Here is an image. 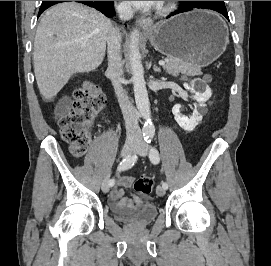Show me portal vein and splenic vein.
<instances>
[{"label": "portal vein and splenic vein", "mask_w": 271, "mask_h": 266, "mask_svg": "<svg viewBox=\"0 0 271 266\" xmlns=\"http://www.w3.org/2000/svg\"><path fill=\"white\" fill-rule=\"evenodd\" d=\"M159 65L164 66L165 65V61L164 60H160L159 61Z\"/></svg>", "instance_id": "obj_1"}]
</instances>
